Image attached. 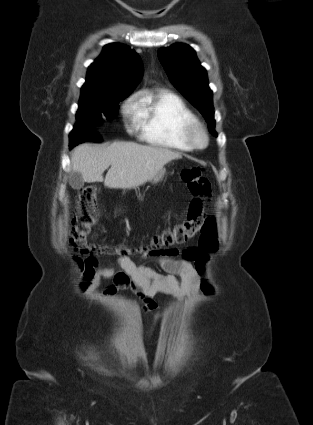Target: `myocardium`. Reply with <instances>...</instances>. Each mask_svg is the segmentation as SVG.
I'll list each match as a JSON object with an SVG mask.
<instances>
[{"instance_id": "f54148a6", "label": "myocardium", "mask_w": 313, "mask_h": 425, "mask_svg": "<svg viewBox=\"0 0 313 425\" xmlns=\"http://www.w3.org/2000/svg\"><path fill=\"white\" fill-rule=\"evenodd\" d=\"M184 137L195 149H203L209 142L206 128L198 121L186 126Z\"/></svg>"}]
</instances>
